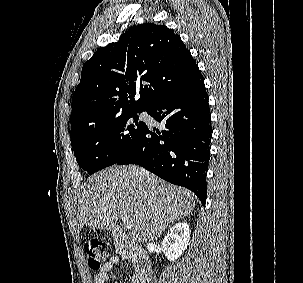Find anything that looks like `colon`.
<instances>
[{"label": "colon", "mask_w": 303, "mask_h": 283, "mask_svg": "<svg viewBox=\"0 0 303 283\" xmlns=\"http://www.w3.org/2000/svg\"><path fill=\"white\" fill-rule=\"evenodd\" d=\"M83 249L87 256L88 265L94 271L102 270L104 264L111 258L112 254L111 244L99 239L86 241Z\"/></svg>", "instance_id": "5ec220e1"}]
</instances>
